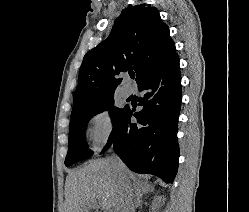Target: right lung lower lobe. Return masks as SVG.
Returning <instances> with one entry per match:
<instances>
[{
  "mask_svg": "<svg viewBox=\"0 0 249 212\" xmlns=\"http://www.w3.org/2000/svg\"><path fill=\"white\" fill-rule=\"evenodd\" d=\"M138 89L145 92L139 100L142 110L133 113L135 109L124 107L102 153L113 145L132 171L172 183L179 160L177 122L182 93L178 55L149 75ZM132 116L137 123H131Z\"/></svg>",
  "mask_w": 249,
  "mask_h": 212,
  "instance_id": "98d812e1",
  "label": "right lung lower lobe"
}]
</instances>
